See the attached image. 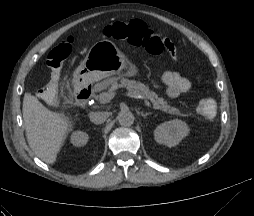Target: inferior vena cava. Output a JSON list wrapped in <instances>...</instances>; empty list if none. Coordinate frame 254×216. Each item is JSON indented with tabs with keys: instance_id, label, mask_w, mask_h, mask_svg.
<instances>
[{
	"instance_id": "obj_1",
	"label": "inferior vena cava",
	"mask_w": 254,
	"mask_h": 216,
	"mask_svg": "<svg viewBox=\"0 0 254 216\" xmlns=\"http://www.w3.org/2000/svg\"><path fill=\"white\" fill-rule=\"evenodd\" d=\"M107 112H91L89 115L90 121L94 124H102L105 122V120L108 118Z\"/></svg>"
}]
</instances>
